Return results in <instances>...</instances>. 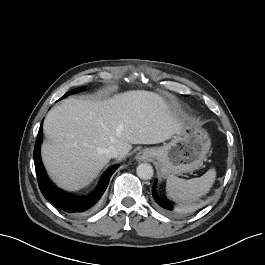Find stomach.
<instances>
[{
	"instance_id": "obj_1",
	"label": "stomach",
	"mask_w": 265,
	"mask_h": 265,
	"mask_svg": "<svg viewBox=\"0 0 265 265\" xmlns=\"http://www.w3.org/2000/svg\"><path fill=\"white\" fill-rule=\"evenodd\" d=\"M210 147L207 131L193 122H187L170 142L150 150L160 173L169 177L192 173L200 168Z\"/></svg>"
}]
</instances>
